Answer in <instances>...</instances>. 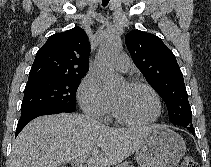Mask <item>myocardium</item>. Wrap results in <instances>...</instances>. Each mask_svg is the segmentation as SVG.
<instances>
[{
  "instance_id": "obj_1",
  "label": "myocardium",
  "mask_w": 211,
  "mask_h": 167,
  "mask_svg": "<svg viewBox=\"0 0 211 167\" xmlns=\"http://www.w3.org/2000/svg\"><path fill=\"white\" fill-rule=\"evenodd\" d=\"M129 87H133V88H145L148 91H150L152 93V95L155 98L156 101V106H157V111L156 114L153 118H151L150 120L147 121H134V120H130L124 116H122L116 109L115 105L113 104V114L115 116V118L124 125H128V126H136V127H144V126H149L153 123H155L161 116L162 114V103H161V99L160 96L158 94V92L149 84L142 82V81H138V80H129L126 83Z\"/></svg>"
}]
</instances>
